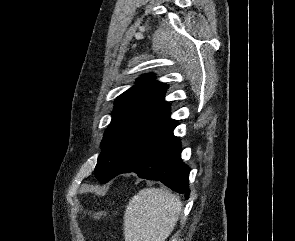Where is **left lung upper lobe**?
<instances>
[{
  "label": "left lung upper lobe",
  "instance_id": "left-lung-upper-lobe-1",
  "mask_svg": "<svg viewBox=\"0 0 295 241\" xmlns=\"http://www.w3.org/2000/svg\"><path fill=\"white\" fill-rule=\"evenodd\" d=\"M153 77H141L115 101L95 167V176L102 183L177 125L169 117L170 105L164 101L167 86Z\"/></svg>",
  "mask_w": 295,
  "mask_h": 241
}]
</instances>
